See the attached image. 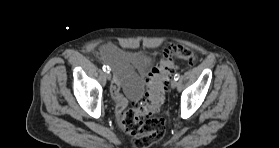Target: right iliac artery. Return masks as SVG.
I'll return each instance as SVG.
<instances>
[{
	"label": "right iliac artery",
	"mask_w": 279,
	"mask_h": 148,
	"mask_svg": "<svg viewBox=\"0 0 279 148\" xmlns=\"http://www.w3.org/2000/svg\"><path fill=\"white\" fill-rule=\"evenodd\" d=\"M102 69L104 72H110V70H111L108 65H103Z\"/></svg>",
	"instance_id": "82829eb1"
}]
</instances>
